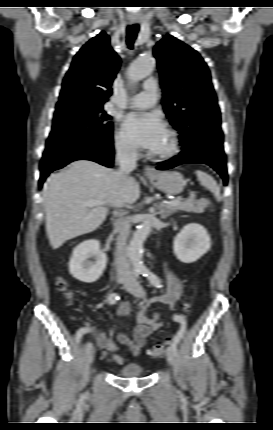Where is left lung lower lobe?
<instances>
[{
	"mask_svg": "<svg viewBox=\"0 0 273 430\" xmlns=\"http://www.w3.org/2000/svg\"><path fill=\"white\" fill-rule=\"evenodd\" d=\"M183 146L179 155L167 160L168 164L157 167L159 170L171 169L185 163H203L211 166L223 178L227 185L228 175L223 151V133L218 122L207 119L196 127L185 130L180 136Z\"/></svg>",
	"mask_w": 273,
	"mask_h": 430,
	"instance_id": "1",
	"label": "left lung lower lobe"
}]
</instances>
